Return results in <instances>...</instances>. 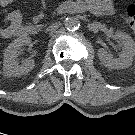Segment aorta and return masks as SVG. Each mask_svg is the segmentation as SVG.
<instances>
[{
	"mask_svg": "<svg viewBox=\"0 0 135 135\" xmlns=\"http://www.w3.org/2000/svg\"><path fill=\"white\" fill-rule=\"evenodd\" d=\"M65 28L68 31H75L80 27V21L76 17H69L65 20Z\"/></svg>",
	"mask_w": 135,
	"mask_h": 135,
	"instance_id": "762f6f07",
	"label": "aorta"
}]
</instances>
